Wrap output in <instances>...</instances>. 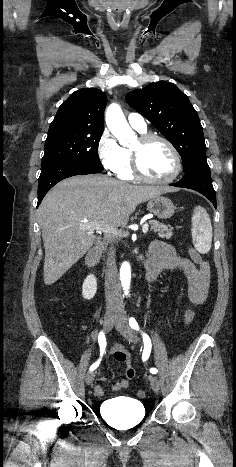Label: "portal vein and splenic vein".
Returning a JSON list of instances; mask_svg holds the SVG:
<instances>
[{"label":"portal vein and splenic vein","instance_id":"1","mask_svg":"<svg viewBox=\"0 0 236 467\" xmlns=\"http://www.w3.org/2000/svg\"><path fill=\"white\" fill-rule=\"evenodd\" d=\"M94 229L96 230H99V231H102L106 234H113V235H116V236H122V232L117 230L116 228H113L107 224H105L104 222H100V223H97V224H94L92 226ZM148 228H149V225L148 223H145L142 227V230H143V233H147L148 232Z\"/></svg>","mask_w":236,"mask_h":467}]
</instances>
